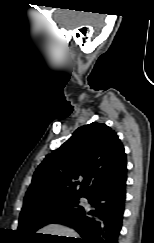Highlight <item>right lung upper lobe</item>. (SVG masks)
Listing matches in <instances>:
<instances>
[{"mask_svg": "<svg viewBox=\"0 0 154 243\" xmlns=\"http://www.w3.org/2000/svg\"><path fill=\"white\" fill-rule=\"evenodd\" d=\"M126 163L124 147L114 130L97 122L82 126L38 166L23 206L64 195L85 197Z\"/></svg>", "mask_w": 154, "mask_h": 243, "instance_id": "right-lung-upper-lobe-1", "label": "right lung upper lobe"}]
</instances>
